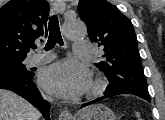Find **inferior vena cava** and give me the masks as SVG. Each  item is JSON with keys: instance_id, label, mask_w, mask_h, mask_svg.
Segmentation results:
<instances>
[{"instance_id": "602c4592", "label": "inferior vena cava", "mask_w": 165, "mask_h": 120, "mask_svg": "<svg viewBox=\"0 0 165 120\" xmlns=\"http://www.w3.org/2000/svg\"><path fill=\"white\" fill-rule=\"evenodd\" d=\"M46 99L49 100V101H52V98H50V97H46Z\"/></svg>"}]
</instances>
